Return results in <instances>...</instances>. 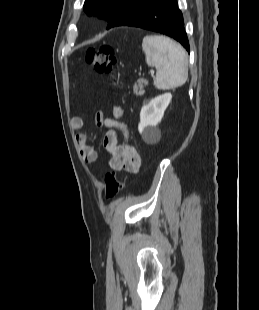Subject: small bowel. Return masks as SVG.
Masks as SVG:
<instances>
[{"instance_id":"small-bowel-1","label":"small bowel","mask_w":259,"mask_h":310,"mask_svg":"<svg viewBox=\"0 0 259 310\" xmlns=\"http://www.w3.org/2000/svg\"><path fill=\"white\" fill-rule=\"evenodd\" d=\"M123 110L119 106L114 107V116L104 118L101 111L96 114L95 122L99 127L107 129L103 146L110 153L108 167L114 171L125 170L130 173L138 172L141 165V157L135 147L129 141V134L125 124L119 121ZM83 120L80 117L71 119V128L77 132L76 145L83 160L86 162H95L98 158L96 150L90 145L88 137L79 131L83 128ZM116 129L122 131L124 139L118 143Z\"/></svg>"}]
</instances>
